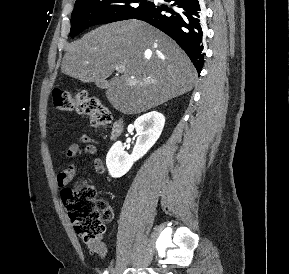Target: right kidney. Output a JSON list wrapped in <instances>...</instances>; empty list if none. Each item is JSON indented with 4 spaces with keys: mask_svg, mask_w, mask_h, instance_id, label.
Returning <instances> with one entry per match:
<instances>
[{
    "mask_svg": "<svg viewBox=\"0 0 289 274\" xmlns=\"http://www.w3.org/2000/svg\"><path fill=\"white\" fill-rule=\"evenodd\" d=\"M165 124V117L157 111L148 112L138 117L134 122L137 141L129 155L117 141L110 148L106 157V166L111 177L119 178L125 175L134 162L142 158L159 139Z\"/></svg>",
    "mask_w": 289,
    "mask_h": 274,
    "instance_id": "ca27d5eb",
    "label": "right kidney"
}]
</instances>
